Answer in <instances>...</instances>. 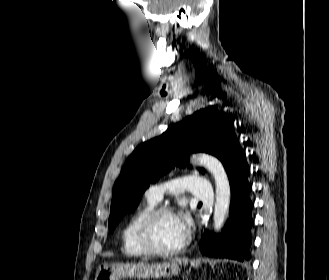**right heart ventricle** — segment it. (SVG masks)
I'll list each match as a JSON object with an SVG mask.
<instances>
[{
    "label": "right heart ventricle",
    "instance_id": "obj_1",
    "mask_svg": "<svg viewBox=\"0 0 329 280\" xmlns=\"http://www.w3.org/2000/svg\"><path fill=\"white\" fill-rule=\"evenodd\" d=\"M156 201L146 197L145 201L131 214L121 232L122 251L130 257H141L147 253L137 240V228L142 218L156 206Z\"/></svg>",
    "mask_w": 329,
    "mask_h": 280
}]
</instances>
